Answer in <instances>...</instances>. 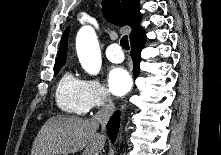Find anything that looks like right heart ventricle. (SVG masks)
I'll return each instance as SVG.
<instances>
[{
    "label": "right heart ventricle",
    "mask_w": 221,
    "mask_h": 155,
    "mask_svg": "<svg viewBox=\"0 0 221 155\" xmlns=\"http://www.w3.org/2000/svg\"><path fill=\"white\" fill-rule=\"evenodd\" d=\"M57 106L69 114H86L90 107L85 96L84 80L66 71L60 78L56 88Z\"/></svg>",
    "instance_id": "obj_1"
}]
</instances>
